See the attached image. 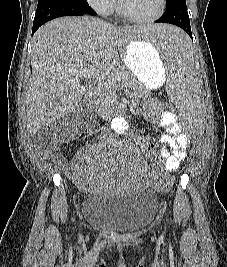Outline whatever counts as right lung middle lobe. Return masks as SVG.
Here are the masks:
<instances>
[{
    "label": "right lung middle lobe",
    "instance_id": "dd1d6c3e",
    "mask_svg": "<svg viewBox=\"0 0 227 267\" xmlns=\"http://www.w3.org/2000/svg\"><path fill=\"white\" fill-rule=\"evenodd\" d=\"M68 1H73V2H77V1H82V0H68Z\"/></svg>",
    "mask_w": 227,
    "mask_h": 267
}]
</instances>
